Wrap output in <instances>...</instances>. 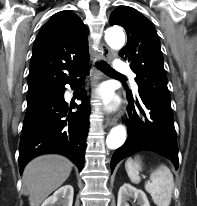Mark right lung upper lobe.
Instances as JSON below:
<instances>
[{
  "mask_svg": "<svg viewBox=\"0 0 197 206\" xmlns=\"http://www.w3.org/2000/svg\"><path fill=\"white\" fill-rule=\"evenodd\" d=\"M88 30L72 11L53 15L33 45L28 91L58 90L76 78L89 61Z\"/></svg>",
  "mask_w": 197,
  "mask_h": 206,
  "instance_id": "right-lung-upper-lobe-1",
  "label": "right lung upper lobe"
}]
</instances>
